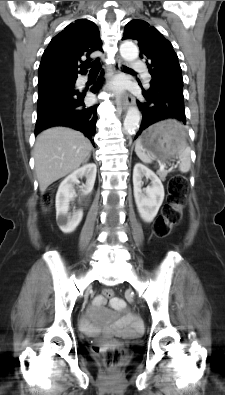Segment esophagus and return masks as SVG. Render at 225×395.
Returning a JSON list of instances; mask_svg holds the SVG:
<instances>
[{
    "mask_svg": "<svg viewBox=\"0 0 225 395\" xmlns=\"http://www.w3.org/2000/svg\"><path fill=\"white\" fill-rule=\"evenodd\" d=\"M123 64L124 63L122 59L120 57L117 58L115 64L113 65V71L115 74L121 72V70L123 69ZM133 102H134L133 97L129 95H124L123 97H117L116 99L117 105L123 110H126L129 107V105Z\"/></svg>",
    "mask_w": 225,
    "mask_h": 395,
    "instance_id": "1",
    "label": "esophagus"
}]
</instances>
